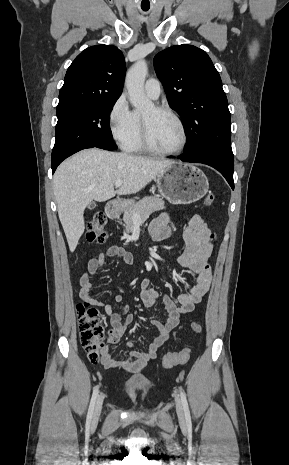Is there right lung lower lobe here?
<instances>
[{
    "label": "right lung lower lobe",
    "mask_w": 289,
    "mask_h": 465,
    "mask_svg": "<svg viewBox=\"0 0 289 465\" xmlns=\"http://www.w3.org/2000/svg\"><path fill=\"white\" fill-rule=\"evenodd\" d=\"M62 161H57L52 163V173L55 172L57 166L61 163Z\"/></svg>",
    "instance_id": "1"
}]
</instances>
